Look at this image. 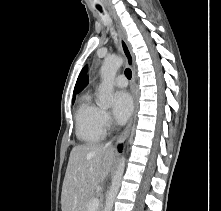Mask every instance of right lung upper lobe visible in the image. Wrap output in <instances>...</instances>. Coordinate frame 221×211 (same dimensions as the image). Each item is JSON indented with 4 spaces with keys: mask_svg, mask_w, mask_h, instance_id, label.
Listing matches in <instances>:
<instances>
[{
    "mask_svg": "<svg viewBox=\"0 0 221 211\" xmlns=\"http://www.w3.org/2000/svg\"><path fill=\"white\" fill-rule=\"evenodd\" d=\"M86 72H87V66H85V67L82 69V71H81V73H80V75H79V77H78V79H77V82H76V85H75V88H74V92H73V95H74V96H75L78 92H80V91L84 88V86L86 85L87 81L84 80V77H85Z\"/></svg>",
    "mask_w": 221,
    "mask_h": 211,
    "instance_id": "cb5924a9",
    "label": "right lung upper lobe"
}]
</instances>
